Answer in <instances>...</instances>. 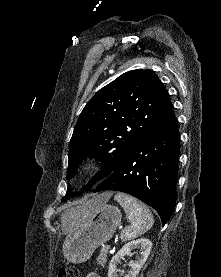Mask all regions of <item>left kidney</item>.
<instances>
[{
  "label": "left kidney",
  "mask_w": 221,
  "mask_h": 277,
  "mask_svg": "<svg viewBox=\"0 0 221 277\" xmlns=\"http://www.w3.org/2000/svg\"><path fill=\"white\" fill-rule=\"evenodd\" d=\"M151 248H152V242L147 238H140L125 244L111 259L109 263L108 277H118L117 265L120 263L121 259H123L125 255L130 254L132 250L138 249L140 250V256L137 258L136 261L129 262L130 270L128 274L124 276V277H136L141 267L146 262L150 254Z\"/></svg>",
  "instance_id": "1"
}]
</instances>
